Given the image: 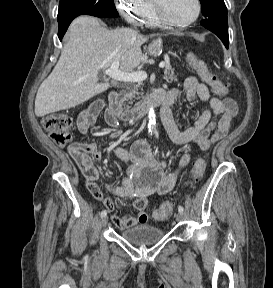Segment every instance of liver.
Wrapping results in <instances>:
<instances>
[{
	"instance_id": "1",
	"label": "liver",
	"mask_w": 273,
	"mask_h": 288,
	"mask_svg": "<svg viewBox=\"0 0 273 288\" xmlns=\"http://www.w3.org/2000/svg\"><path fill=\"white\" fill-rule=\"evenodd\" d=\"M146 41L132 29L108 30L95 17H77L56 66L38 89L35 115L73 108L106 91L109 83H98L99 72L115 61L120 71L132 72L147 58L141 51Z\"/></svg>"
}]
</instances>
